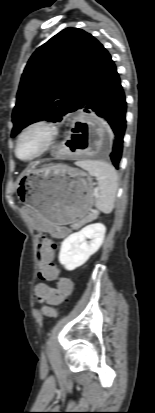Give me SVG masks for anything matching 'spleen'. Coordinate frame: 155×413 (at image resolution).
I'll return each instance as SVG.
<instances>
[{"label": "spleen", "instance_id": "obj_1", "mask_svg": "<svg viewBox=\"0 0 155 413\" xmlns=\"http://www.w3.org/2000/svg\"><path fill=\"white\" fill-rule=\"evenodd\" d=\"M75 164L88 171L97 180V209L104 214L111 213L118 188V175L115 168L107 162L98 160H82Z\"/></svg>", "mask_w": 155, "mask_h": 413}]
</instances>
